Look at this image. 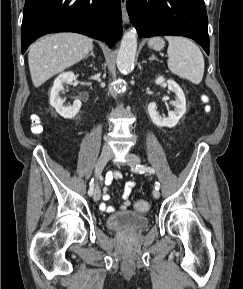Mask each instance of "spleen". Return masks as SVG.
<instances>
[{
  "instance_id": "spleen-1",
  "label": "spleen",
  "mask_w": 243,
  "mask_h": 289,
  "mask_svg": "<svg viewBox=\"0 0 243 289\" xmlns=\"http://www.w3.org/2000/svg\"><path fill=\"white\" fill-rule=\"evenodd\" d=\"M165 39L169 43L167 64L170 71L199 84L204 74V58L199 47L185 37L166 36Z\"/></svg>"
}]
</instances>
